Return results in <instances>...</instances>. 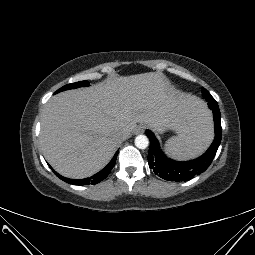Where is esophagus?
<instances>
[{"label": "esophagus", "mask_w": 255, "mask_h": 255, "mask_svg": "<svg viewBox=\"0 0 255 255\" xmlns=\"http://www.w3.org/2000/svg\"><path fill=\"white\" fill-rule=\"evenodd\" d=\"M144 126L143 125H138L136 128H135V130H134V133L135 134H141V133H143L144 132Z\"/></svg>", "instance_id": "34e87169"}]
</instances>
